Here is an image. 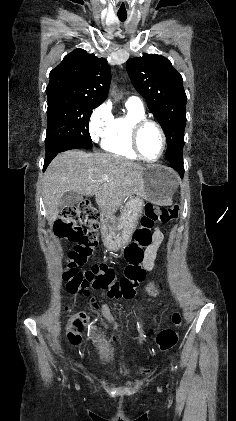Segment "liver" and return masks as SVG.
<instances>
[{
    "mask_svg": "<svg viewBox=\"0 0 236 421\" xmlns=\"http://www.w3.org/2000/svg\"><path fill=\"white\" fill-rule=\"evenodd\" d=\"M144 166L122 156L105 152L66 150L50 162L43 176V200L46 219L52 227L58 204L67 190L96 196L103 215H115L129 194L145 196ZM107 174L108 180H101Z\"/></svg>",
    "mask_w": 236,
    "mask_h": 421,
    "instance_id": "6515ba94",
    "label": "liver"
}]
</instances>
